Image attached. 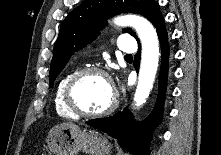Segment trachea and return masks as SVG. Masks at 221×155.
Returning a JSON list of instances; mask_svg holds the SVG:
<instances>
[{
    "mask_svg": "<svg viewBox=\"0 0 221 155\" xmlns=\"http://www.w3.org/2000/svg\"><path fill=\"white\" fill-rule=\"evenodd\" d=\"M125 58H132V55L127 54V55H125Z\"/></svg>",
    "mask_w": 221,
    "mask_h": 155,
    "instance_id": "obj_1",
    "label": "trachea"
}]
</instances>
